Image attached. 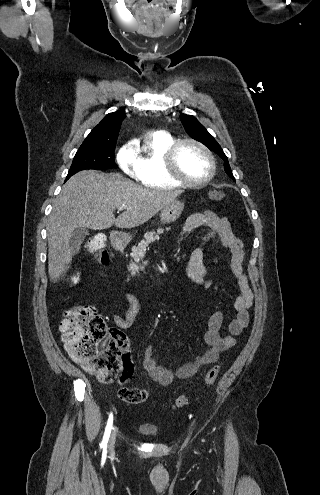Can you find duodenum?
<instances>
[{"label":"duodenum","instance_id":"1","mask_svg":"<svg viewBox=\"0 0 320 495\" xmlns=\"http://www.w3.org/2000/svg\"><path fill=\"white\" fill-rule=\"evenodd\" d=\"M112 241L117 250L122 251L125 249V241L119 234H114Z\"/></svg>","mask_w":320,"mask_h":495}]
</instances>
